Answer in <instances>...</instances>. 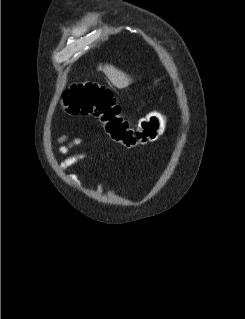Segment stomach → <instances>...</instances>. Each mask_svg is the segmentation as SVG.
<instances>
[{"mask_svg":"<svg viewBox=\"0 0 245 319\" xmlns=\"http://www.w3.org/2000/svg\"><path fill=\"white\" fill-rule=\"evenodd\" d=\"M161 80V78H157V79H154L152 82L154 83V84H156L157 82H159Z\"/></svg>","mask_w":245,"mask_h":319,"instance_id":"obj_1","label":"stomach"}]
</instances>
